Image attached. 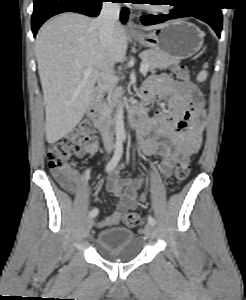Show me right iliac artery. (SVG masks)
I'll list each match as a JSON object with an SVG mask.
<instances>
[{
    "instance_id": "right-iliac-artery-1",
    "label": "right iliac artery",
    "mask_w": 246,
    "mask_h": 300,
    "mask_svg": "<svg viewBox=\"0 0 246 300\" xmlns=\"http://www.w3.org/2000/svg\"><path fill=\"white\" fill-rule=\"evenodd\" d=\"M123 154V144H122V140L121 139H118L116 141V145H115V151H114V155L113 157L111 158V160L108 162V164L106 165V169L105 171L106 172H110L112 171L118 164L121 156ZM98 214V209L95 208L93 209L92 211H90L89 213V217L90 218H94L96 217Z\"/></svg>"
}]
</instances>
